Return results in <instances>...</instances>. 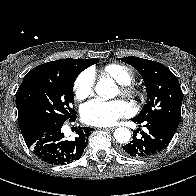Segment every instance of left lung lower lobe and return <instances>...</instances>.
<instances>
[{"label":"left lung lower lobe","instance_id":"left-lung-lower-lobe-1","mask_svg":"<svg viewBox=\"0 0 196 196\" xmlns=\"http://www.w3.org/2000/svg\"><path fill=\"white\" fill-rule=\"evenodd\" d=\"M133 122L143 124L147 129L141 131L137 129L133 133V140L123 146L122 153L124 155L135 158H147L153 156L165 148H167L176 130L168 126L166 123L157 119L137 120L131 119ZM141 131V136L137 133Z\"/></svg>","mask_w":196,"mask_h":196}]
</instances>
